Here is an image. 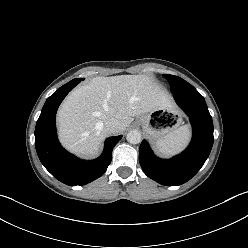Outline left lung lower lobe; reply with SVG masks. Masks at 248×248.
Masks as SVG:
<instances>
[{"label": "left lung lower lobe", "mask_w": 248, "mask_h": 248, "mask_svg": "<svg viewBox=\"0 0 248 248\" xmlns=\"http://www.w3.org/2000/svg\"><path fill=\"white\" fill-rule=\"evenodd\" d=\"M174 98L190 118L193 127L190 145L171 159H160L143 140L139 153L144 173L166 186L181 185L195 176L208 158L214 140L212 118L202 95L199 92L177 94Z\"/></svg>", "instance_id": "0a47b994"}]
</instances>
